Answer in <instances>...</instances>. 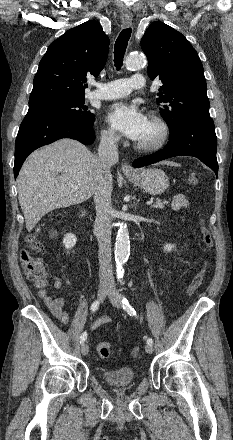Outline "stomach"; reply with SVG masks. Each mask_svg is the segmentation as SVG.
<instances>
[{"label":"stomach","mask_w":233,"mask_h":440,"mask_svg":"<svg viewBox=\"0 0 233 440\" xmlns=\"http://www.w3.org/2000/svg\"><path fill=\"white\" fill-rule=\"evenodd\" d=\"M126 177L151 195L162 194L169 187L168 177L161 169H143L136 175L126 174Z\"/></svg>","instance_id":"obj_1"}]
</instances>
